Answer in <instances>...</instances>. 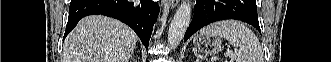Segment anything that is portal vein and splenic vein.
<instances>
[{
	"instance_id": "obj_1",
	"label": "portal vein and splenic vein",
	"mask_w": 331,
	"mask_h": 62,
	"mask_svg": "<svg viewBox=\"0 0 331 62\" xmlns=\"http://www.w3.org/2000/svg\"><path fill=\"white\" fill-rule=\"evenodd\" d=\"M227 53L229 54L230 59L233 60L234 59V55L232 54V52L231 51H228Z\"/></svg>"
}]
</instances>
